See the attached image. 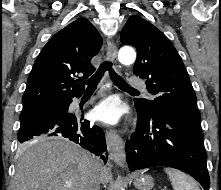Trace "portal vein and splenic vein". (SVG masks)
<instances>
[{
    "mask_svg": "<svg viewBox=\"0 0 221 190\" xmlns=\"http://www.w3.org/2000/svg\"><path fill=\"white\" fill-rule=\"evenodd\" d=\"M66 186H67V187H70V186H71V184H70V183H67V184H66Z\"/></svg>",
    "mask_w": 221,
    "mask_h": 190,
    "instance_id": "obj_1",
    "label": "portal vein and splenic vein"
}]
</instances>
